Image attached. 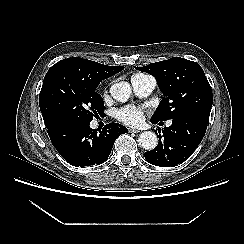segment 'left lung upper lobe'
Returning <instances> with one entry per match:
<instances>
[{
	"label": "left lung upper lobe",
	"mask_w": 244,
	"mask_h": 244,
	"mask_svg": "<svg viewBox=\"0 0 244 244\" xmlns=\"http://www.w3.org/2000/svg\"><path fill=\"white\" fill-rule=\"evenodd\" d=\"M135 68L153 75L165 95L152 116V121H166L185 115L209 120L213 94L198 63L173 57Z\"/></svg>",
	"instance_id": "5c2ea615"
}]
</instances>
